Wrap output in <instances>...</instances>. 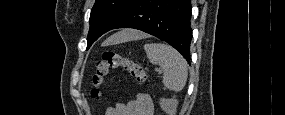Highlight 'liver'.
I'll use <instances>...</instances> for the list:
<instances>
[{
	"mask_svg": "<svg viewBox=\"0 0 285 115\" xmlns=\"http://www.w3.org/2000/svg\"><path fill=\"white\" fill-rule=\"evenodd\" d=\"M123 33V40H118L116 37L112 36L110 38H108L103 44L102 46H106V45H111V44H117V43H121V42H125L131 39H139V38H143L146 35L135 31V30H125L122 32Z\"/></svg>",
	"mask_w": 285,
	"mask_h": 115,
	"instance_id": "6515ba94",
	"label": "liver"
}]
</instances>
